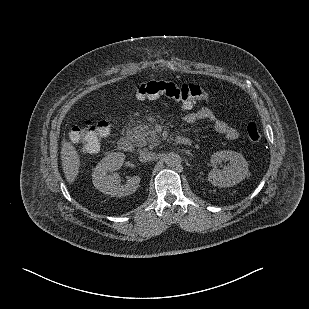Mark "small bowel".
Returning <instances> with one entry per match:
<instances>
[{"mask_svg":"<svg viewBox=\"0 0 309 309\" xmlns=\"http://www.w3.org/2000/svg\"><path fill=\"white\" fill-rule=\"evenodd\" d=\"M181 107L184 111H187V114L185 116V121L189 124H193L198 121H210L214 125V129L220 133L223 134L228 140H235L238 138V131L228 125L225 121L217 118V116L213 113L212 110L208 108H200L197 110H192L191 105H185L181 104ZM98 148V146H95L92 149H86L87 151H94Z\"/></svg>","mask_w":309,"mask_h":309,"instance_id":"c3829d8e","label":"small bowel"}]
</instances>
